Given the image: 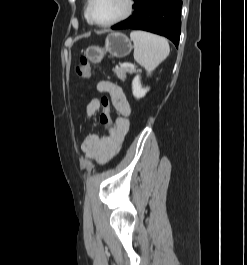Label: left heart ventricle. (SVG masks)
<instances>
[{"mask_svg":"<svg viewBox=\"0 0 247 265\" xmlns=\"http://www.w3.org/2000/svg\"><path fill=\"white\" fill-rule=\"evenodd\" d=\"M125 7V0H94L92 17L100 23L109 22L121 15Z\"/></svg>","mask_w":247,"mask_h":265,"instance_id":"left-heart-ventricle-1","label":"left heart ventricle"}]
</instances>
